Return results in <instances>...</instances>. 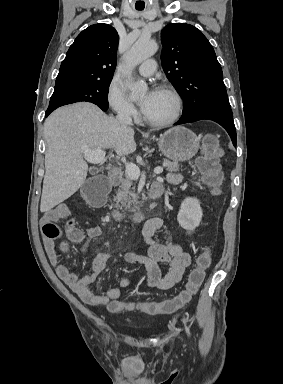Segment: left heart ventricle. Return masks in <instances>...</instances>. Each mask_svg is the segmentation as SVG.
<instances>
[{
    "instance_id": "left-heart-ventricle-1",
    "label": "left heart ventricle",
    "mask_w": 283,
    "mask_h": 384,
    "mask_svg": "<svg viewBox=\"0 0 283 384\" xmlns=\"http://www.w3.org/2000/svg\"><path fill=\"white\" fill-rule=\"evenodd\" d=\"M173 110L174 104L170 96L165 91L157 89L147 110L142 111V114L149 120L161 121L169 118L172 115Z\"/></svg>"
}]
</instances>
